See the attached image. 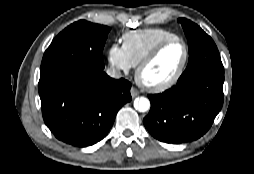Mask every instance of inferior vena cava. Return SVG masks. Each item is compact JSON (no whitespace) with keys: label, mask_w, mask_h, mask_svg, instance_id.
<instances>
[{"label":"inferior vena cava","mask_w":254,"mask_h":174,"mask_svg":"<svg viewBox=\"0 0 254 174\" xmlns=\"http://www.w3.org/2000/svg\"><path fill=\"white\" fill-rule=\"evenodd\" d=\"M106 73H107V75H109L110 77L115 78V79H119L122 77L121 71L118 68L113 67V66L109 67L106 70Z\"/></svg>","instance_id":"inferior-vena-cava-1"}]
</instances>
